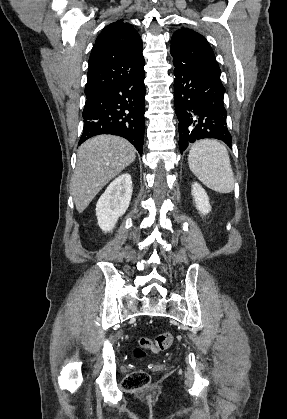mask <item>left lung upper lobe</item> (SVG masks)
Returning a JSON list of instances; mask_svg holds the SVG:
<instances>
[{
    "instance_id": "obj_1",
    "label": "left lung upper lobe",
    "mask_w": 287,
    "mask_h": 419,
    "mask_svg": "<svg viewBox=\"0 0 287 419\" xmlns=\"http://www.w3.org/2000/svg\"><path fill=\"white\" fill-rule=\"evenodd\" d=\"M170 53L175 67L192 71H220L207 40L191 29H179L173 34Z\"/></svg>"
}]
</instances>
